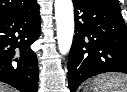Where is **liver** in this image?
I'll use <instances>...</instances> for the list:
<instances>
[{"mask_svg":"<svg viewBox=\"0 0 127 92\" xmlns=\"http://www.w3.org/2000/svg\"><path fill=\"white\" fill-rule=\"evenodd\" d=\"M0 92H15L10 86L0 82Z\"/></svg>","mask_w":127,"mask_h":92,"instance_id":"6515ba94","label":"liver"}]
</instances>
